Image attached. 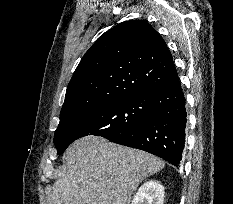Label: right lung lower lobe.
I'll return each mask as SVG.
<instances>
[{
	"mask_svg": "<svg viewBox=\"0 0 233 204\" xmlns=\"http://www.w3.org/2000/svg\"><path fill=\"white\" fill-rule=\"evenodd\" d=\"M186 100L178 74L150 94L152 118L110 141L157 155L179 167L185 145Z\"/></svg>",
	"mask_w": 233,
	"mask_h": 204,
	"instance_id": "right-lung-lower-lobe-1",
	"label": "right lung lower lobe"
}]
</instances>
